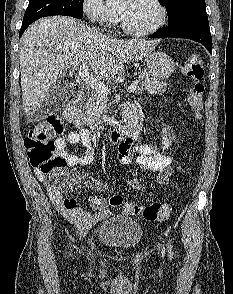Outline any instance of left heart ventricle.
<instances>
[{"label": "left heart ventricle", "instance_id": "b2bd125f", "mask_svg": "<svg viewBox=\"0 0 233 294\" xmlns=\"http://www.w3.org/2000/svg\"><path fill=\"white\" fill-rule=\"evenodd\" d=\"M119 11L127 23L134 29L145 30L154 26L159 20V10L151 0H123Z\"/></svg>", "mask_w": 233, "mask_h": 294}]
</instances>
